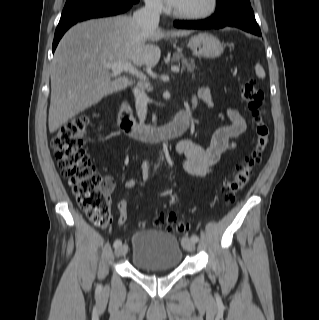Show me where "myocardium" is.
Wrapping results in <instances>:
<instances>
[{"instance_id": "myocardium-1", "label": "myocardium", "mask_w": 319, "mask_h": 320, "mask_svg": "<svg viewBox=\"0 0 319 320\" xmlns=\"http://www.w3.org/2000/svg\"><path fill=\"white\" fill-rule=\"evenodd\" d=\"M218 3H219V0H209L208 6L204 10L199 11V12H192V13L179 12L175 9V10H173V15L176 18H179L182 20L206 19L215 13V11L218 8Z\"/></svg>"}]
</instances>
